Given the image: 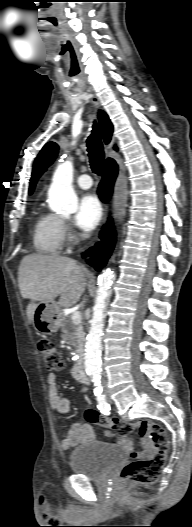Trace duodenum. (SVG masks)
Instances as JSON below:
<instances>
[{
  "mask_svg": "<svg viewBox=\"0 0 192 527\" xmlns=\"http://www.w3.org/2000/svg\"><path fill=\"white\" fill-rule=\"evenodd\" d=\"M75 375L78 378V380L84 384H89L90 380L88 376L86 375L85 368L82 363H79L75 367Z\"/></svg>",
  "mask_w": 192,
  "mask_h": 527,
  "instance_id": "1",
  "label": "duodenum"
}]
</instances>
